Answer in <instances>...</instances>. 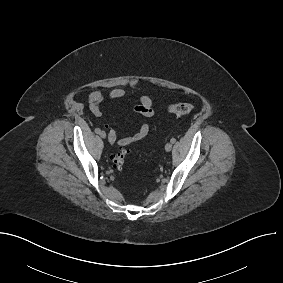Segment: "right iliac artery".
I'll return each mask as SVG.
<instances>
[{
	"label": "right iliac artery",
	"mask_w": 283,
	"mask_h": 283,
	"mask_svg": "<svg viewBox=\"0 0 283 283\" xmlns=\"http://www.w3.org/2000/svg\"><path fill=\"white\" fill-rule=\"evenodd\" d=\"M95 132H96L97 134H100V133H101V129H100V128H96V129H95Z\"/></svg>",
	"instance_id": "obj_1"
}]
</instances>
